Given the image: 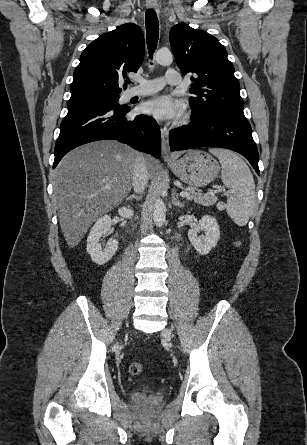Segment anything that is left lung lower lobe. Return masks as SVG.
Returning <instances> with one entry per match:
<instances>
[{
  "label": "left lung lower lobe",
  "mask_w": 307,
  "mask_h": 445,
  "mask_svg": "<svg viewBox=\"0 0 307 445\" xmlns=\"http://www.w3.org/2000/svg\"><path fill=\"white\" fill-rule=\"evenodd\" d=\"M171 151L197 147H221L245 156L258 175V150L252 130L245 117L215 114L192 120L186 127L174 129L169 135Z\"/></svg>",
  "instance_id": "0a47b994"
}]
</instances>
